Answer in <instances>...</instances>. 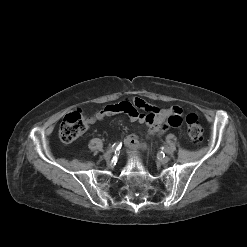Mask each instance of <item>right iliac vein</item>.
Here are the masks:
<instances>
[{"mask_svg":"<svg viewBox=\"0 0 247 247\" xmlns=\"http://www.w3.org/2000/svg\"><path fill=\"white\" fill-rule=\"evenodd\" d=\"M112 156V151H107L106 153H104L103 157L106 160H109Z\"/></svg>","mask_w":247,"mask_h":247,"instance_id":"obj_1","label":"right iliac vein"}]
</instances>
